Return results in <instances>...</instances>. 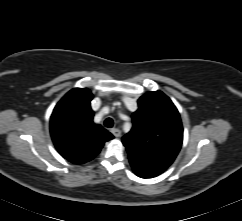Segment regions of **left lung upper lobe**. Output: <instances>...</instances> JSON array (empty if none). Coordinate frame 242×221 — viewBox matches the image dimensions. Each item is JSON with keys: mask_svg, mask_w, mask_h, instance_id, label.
<instances>
[{"mask_svg": "<svg viewBox=\"0 0 242 221\" xmlns=\"http://www.w3.org/2000/svg\"><path fill=\"white\" fill-rule=\"evenodd\" d=\"M132 114L133 127L122 138L129 156L169 167L183 140L179 112L161 91L144 94Z\"/></svg>", "mask_w": 242, "mask_h": 221, "instance_id": "obj_1", "label": "left lung upper lobe"}]
</instances>
